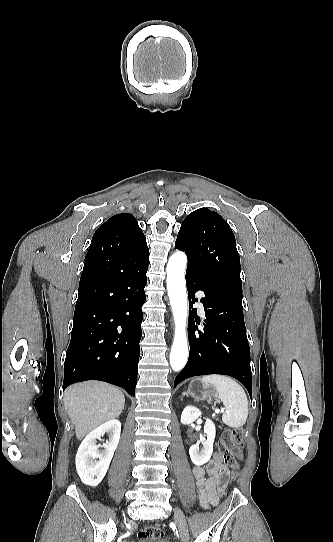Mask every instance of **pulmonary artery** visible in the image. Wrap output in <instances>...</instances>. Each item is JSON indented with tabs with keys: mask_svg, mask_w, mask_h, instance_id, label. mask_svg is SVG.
Returning a JSON list of instances; mask_svg holds the SVG:
<instances>
[{
	"mask_svg": "<svg viewBox=\"0 0 333 542\" xmlns=\"http://www.w3.org/2000/svg\"><path fill=\"white\" fill-rule=\"evenodd\" d=\"M168 296H169V295H166V296H165V299H167Z\"/></svg>",
	"mask_w": 333,
	"mask_h": 542,
	"instance_id": "pulmonary-artery-1",
	"label": "pulmonary artery"
}]
</instances>
